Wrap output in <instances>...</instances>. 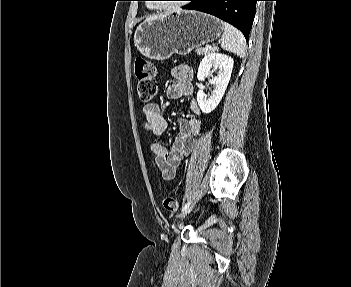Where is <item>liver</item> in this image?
I'll return each mask as SVG.
<instances>
[{
    "instance_id": "1",
    "label": "liver",
    "mask_w": 351,
    "mask_h": 287,
    "mask_svg": "<svg viewBox=\"0 0 351 287\" xmlns=\"http://www.w3.org/2000/svg\"><path fill=\"white\" fill-rule=\"evenodd\" d=\"M158 17H161V16H155V17L149 18V19H147V20H153V19H156V18H158Z\"/></svg>"
}]
</instances>
